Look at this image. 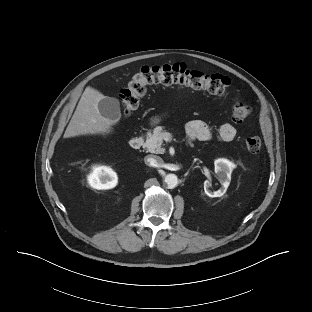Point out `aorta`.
Returning a JSON list of instances; mask_svg holds the SVG:
<instances>
[{"instance_id": "aorta-1", "label": "aorta", "mask_w": 312, "mask_h": 312, "mask_svg": "<svg viewBox=\"0 0 312 312\" xmlns=\"http://www.w3.org/2000/svg\"><path fill=\"white\" fill-rule=\"evenodd\" d=\"M164 182L169 189H173L178 185V177L175 174H167L164 177Z\"/></svg>"}]
</instances>
